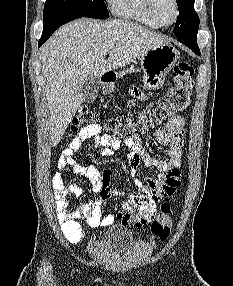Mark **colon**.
Listing matches in <instances>:
<instances>
[{"instance_id": "obj_1", "label": "colon", "mask_w": 233, "mask_h": 286, "mask_svg": "<svg viewBox=\"0 0 233 286\" xmlns=\"http://www.w3.org/2000/svg\"><path fill=\"white\" fill-rule=\"evenodd\" d=\"M193 67L187 62H178L174 66L173 85L166 95L156 103L149 105L142 111H135L128 116H119L108 121V129L112 136L120 137L137 136L155 123L162 122L166 117L177 111L185 109L193 87ZM98 120L97 115L87 107H81L73 118L71 130L77 131L81 127L93 125ZM148 199L134 200L128 213L129 218L140 222L145 216L144 208L149 206ZM174 210L169 203H163L160 212L153 218L151 232L154 238L165 240L172 227Z\"/></svg>"}]
</instances>
